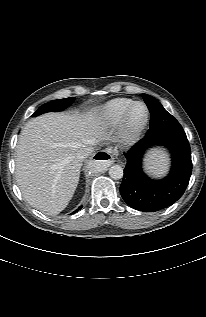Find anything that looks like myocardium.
Instances as JSON below:
<instances>
[{
	"instance_id": "myocardium-1",
	"label": "myocardium",
	"mask_w": 206,
	"mask_h": 317,
	"mask_svg": "<svg viewBox=\"0 0 206 317\" xmlns=\"http://www.w3.org/2000/svg\"><path fill=\"white\" fill-rule=\"evenodd\" d=\"M137 106H143L145 109V115L139 122H134L132 114ZM149 109L143 102H134L125 112L120 121V134L124 142H132L139 137L143 132L149 121Z\"/></svg>"
}]
</instances>
